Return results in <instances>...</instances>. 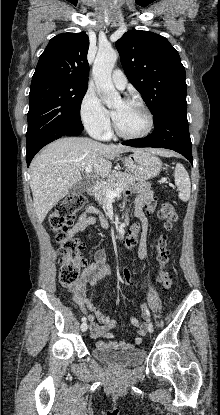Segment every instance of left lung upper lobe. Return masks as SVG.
I'll list each match as a JSON object with an SVG mask.
<instances>
[{"instance_id":"obj_1","label":"left lung upper lobe","mask_w":220,"mask_h":415,"mask_svg":"<svg viewBox=\"0 0 220 415\" xmlns=\"http://www.w3.org/2000/svg\"><path fill=\"white\" fill-rule=\"evenodd\" d=\"M124 72L141 93L154 119L178 104H187L185 68L177 50L156 33L131 30L117 42Z\"/></svg>"}]
</instances>
